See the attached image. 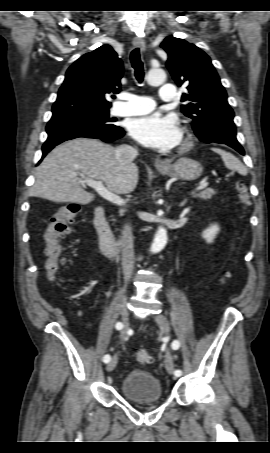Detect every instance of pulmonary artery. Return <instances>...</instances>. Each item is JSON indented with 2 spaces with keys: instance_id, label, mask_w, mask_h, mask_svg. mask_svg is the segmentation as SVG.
Wrapping results in <instances>:
<instances>
[{
  "instance_id": "obj_1",
  "label": "pulmonary artery",
  "mask_w": 270,
  "mask_h": 453,
  "mask_svg": "<svg viewBox=\"0 0 270 453\" xmlns=\"http://www.w3.org/2000/svg\"><path fill=\"white\" fill-rule=\"evenodd\" d=\"M159 96L162 100L172 101L175 97V86L172 84L161 86ZM123 98L126 100L125 103L115 109V114L118 116L145 114L152 111L155 106L154 101L149 97L127 93Z\"/></svg>"
}]
</instances>
